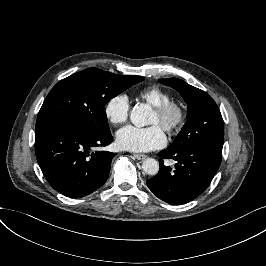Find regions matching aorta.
<instances>
[{
    "instance_id": "762f6f07",
    "label": "aorta",
    "mask_w": 266,
    "mask_h": 266,
    "mask_svg": "<svg viewBox=\"0 0 266 266\" xmlns=\"http://www.w3.org/2000/svg\"><path fill=\"white\" fill-rule=\"evenodd\" d=\"M151 109L146 104L135 105L130 114L131 122L136 127H144L149 124L148 116ZM143 171L148 175H156L159 171V162L154 158H146L142 163Z\"/></svg>"
}]
</instances>
